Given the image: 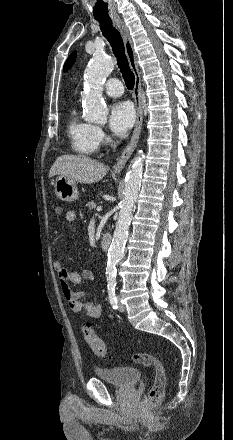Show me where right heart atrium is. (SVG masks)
Instances as JSON below:
<instances>
[{
	"instance_id": "d8ad5b80",
	"label": "right heart atrium",
	"mask_w": 233,
	"mask_h": 440,
	"mask_svg": "<svg viewBox=\"0 0 233 440\" xmlns=\"http://www.w3.org/2000/svg\"><path fill=\"white\" fill-rule=\"evenodd\" d=\"M96 138H97V141L99 142V144H103L107 140L104 131L99 127H96Z\"/></svg>"
}]
</instances>
